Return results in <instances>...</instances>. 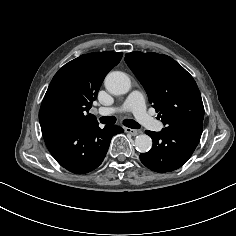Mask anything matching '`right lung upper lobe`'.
I'll use <instances>...</instances> for the list:
<instances>
[{"mask_svg":"<svg viewBox=\"0 0 236 236\" xmlns=\"http://www.w3.org/2000/svg\"><path fill=\"white\" fill-rule=\"evenodd\" d=\"M122 53L94 52L65 64L53 77L39 112L40 125L62 122L83 125L97 122L88 113L106 74L117 65Z\"/></svg>","mask_w":236,"mask_h":236,"instance_id":"1","label":"right lung upper lobe"}]
</instances>
